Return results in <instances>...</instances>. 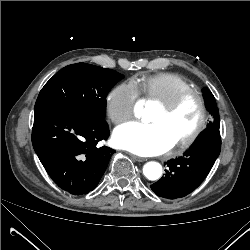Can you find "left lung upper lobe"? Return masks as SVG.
I'll use <instances>...</instances> for the list:
<instances>
[{"label":"left lung upper lobe","instance_id":"obj_1","mask_svg":"<svg viewBox=\"0 0 250 250\" xmlns=\"http://www.w3.org/2000/svg\"><path fill=\"white\" fill-rule=\"evenodd\" d=\"M202 91H203L206 109L213 116V121L208 124L207 129L208 128L219 129L220 127L219 113H218V108L215 102V98L213 94L210 92V90L203 89Z\"/></svg>","mask_w":250,"mask_h":250}]
</instances>
